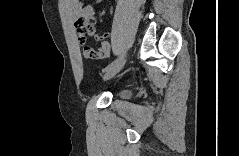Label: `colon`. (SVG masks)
<instances>
[{
  "label": "colon",
  "mask_w": 239,
  "mask_h": 156,
  "mask_svg": "<svg viewBox=\"0 0 239 156\" xmlns=\"http://www.w3.org/2000/svg\"><path fill=\"white\" fill-rule=\"evenodd\" d=\"M77 31L79 33H81L83 36H85L86 34V28H85V25L84 23L82 22L80 25L77 26ZM84 40H85V37H84ZM90 50V49H89Z\"/></svg>",
  "instance_id": "colon-1"
}]
</instances>
